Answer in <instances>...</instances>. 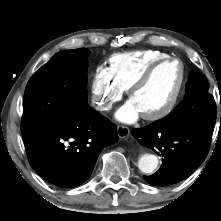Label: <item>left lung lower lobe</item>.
I'll return each instance as SVG.
<instances>
[{
	"instance_id": "1",
	"label": "left lung lower lobe",
	"mask_w": 221,
	"mask_h": 221,
	"mask_svg": "<svg viewBox=\"0 0 221 221\" xmlns=\"http://www.w3.org/2000/svg\"><path fill=\"white\" fill-rule=\"evenodd\" d=\"M213 130L214 127L196 124L162 127L156 121L134 128L132 135L163 157L160 169L144 176L146 182L167 186L191 175L207 156Z\"/></svg>"
}]
</instances>
